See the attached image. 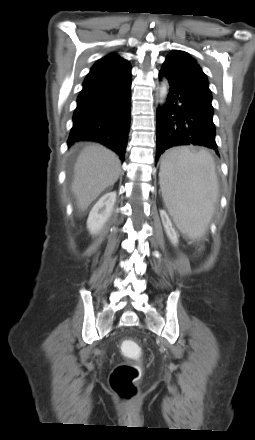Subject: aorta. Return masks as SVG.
Listing matches in <instances>:
<instances>
[{
  "instance_id": "762f6f07",
  "label": "aorta",
  "mask_w": 255,
  "mask_h": 440,
  "mask_svg": "<svg viewBox=\"0 0 255 440\" xmlns=\"http://www.w3.org/2000/svg\"><path fill=\"white\" fill-rule=\"evenodd\" d=\"M167 93H168L167 85L163 84L162 87H161V89H160V93H159L160 98H161L162 100L165 99V97L167 96Z\"/></svg>"
}]
</instances>
